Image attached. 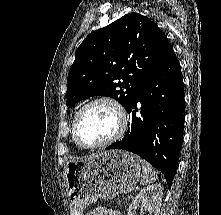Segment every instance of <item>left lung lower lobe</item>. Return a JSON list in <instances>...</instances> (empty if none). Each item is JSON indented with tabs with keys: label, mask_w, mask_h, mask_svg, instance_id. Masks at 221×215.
<instances>
[{
	"label": "left lung lower lobe",
	"mask_w": 221,
	"mask_h": 215,
	"mask_svg": "<svg viewBox=\"0 0 221 215\" xmlns=\"http://www.w3.org/2000/svg\"><path fill=\"white\" fill-rule=\"evenodd\" d=\"M127 112V133L106 149H124L141 156L164 174L170 187L184 124L183 78L172 46L161 65L141 84Z\"/></svg>",
	"instance_id": "0a47b994"
}]
</instances>
